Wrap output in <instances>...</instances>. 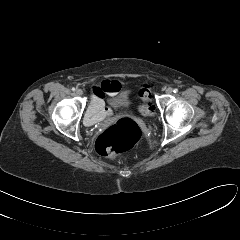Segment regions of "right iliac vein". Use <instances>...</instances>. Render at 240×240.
<instances>
[{
	"label": "right iliac vein",
	"instance_id": "1",
	"mask_svg": "<svg viewBox=\"0 0 240 240\" xmlns=\"http://www.w3.org/2000/svg\"><path fill=\"white\" fill-rule=\"evenodd\" d=\"M76 94H77L78 96H81V95L83 94V91H82L81 89H77V90H76Z\"/></svg>",
	"mask_w": 240,
	"mask_h": 240
}]
</instances>
